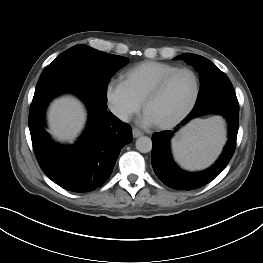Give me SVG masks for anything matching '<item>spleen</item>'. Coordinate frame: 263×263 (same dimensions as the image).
<instances>
[{
  "mask_svg": "<svg viewBox=\"0 0 263 263\" xmlns=\"http://www.w3.org/2000/svg\"><path fill=\"white\" fill-rule=\"evenodd\" d=\"M225 141L220 117L196 119L173 139L176 160L187 169H202L219 155Z\"/></svg>",
  "mask_w": 263,
  "mask_h": 263,
  "instance_id": "1",
  "label": "spleen"
}]
</instances>
